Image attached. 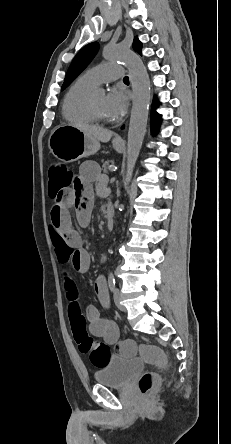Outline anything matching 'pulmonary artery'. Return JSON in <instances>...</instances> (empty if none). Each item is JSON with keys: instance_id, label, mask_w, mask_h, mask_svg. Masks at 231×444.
I'll list each match as a JSON object with an SVG mask.
<instances>
[{"instance_id": "e3ab8cb5", "label": "pulmonary artery", "mask_w": 231, "mask_h": 444, "mask_svg": "<svg viewBox=\"0 0 231 444\" xmlns=\"http://www.w3.org/2000/svg\"><path fill=\"white\" fill-rule=\"evenodd\" d=\"M123 74L124 70L118 64L103 63L90 68L83 76L94 85H99L103 82L120 79L123 77Z\"/></svg>"}]
</instances>
